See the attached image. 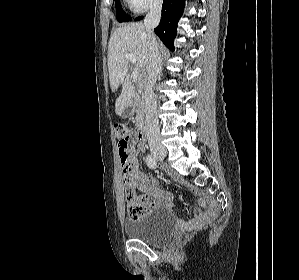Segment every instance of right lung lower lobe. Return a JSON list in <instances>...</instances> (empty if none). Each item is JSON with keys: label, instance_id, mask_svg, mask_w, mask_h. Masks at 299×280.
I'll list each match as a JSON object with an SVG mask.
<instances>
[{"label": "right lung lower lobe", "instance_id": "obj_1", "mask_svg": "<svg viewBox=\"0 0 299 280\" xmlns=\"http://www.w3.org/2000/svg\"><path fill=\"white\" fill-rule=\"evenodd\" d=\"M184 8V0H163L162 17L160 24L154 29V32L163 41L166 47L174 51V38L176 36V27ZM137 17L135 21L142 19Z\"/></svg>", "mask_w": 299, "mask_h": 280}]
</instances>
